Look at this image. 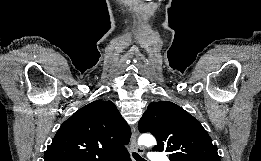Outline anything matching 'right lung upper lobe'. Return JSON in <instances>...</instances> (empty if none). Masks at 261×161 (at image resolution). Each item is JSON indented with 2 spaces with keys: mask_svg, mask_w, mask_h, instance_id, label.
<instances>
[{
  "mask_svg": "<svg viewBox=\"0 0 261 161\" xmlns=\"http://www.w3.org/2000/svg\"><path fill=\"white\" fill-rule=\"evenodd\" d=\"M131 131L113 102L96 100L59 128L44 161H111L126 153Z\"/></svg>",
  "mask_w": 261,
  "mask_h": 161,
  "instance_id": "cb5924a9",
  "label": "right lung upper lobe"
}]
</instances>
